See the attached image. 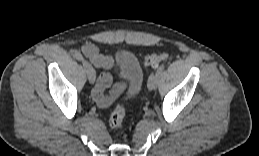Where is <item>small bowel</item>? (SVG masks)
<instances>
[{"instance_id": "obj_1", "label": "small bowel", "mask_w": 259, "mask_h": 156, "mask_svg": "<svg viewBox=\"0 0 259 156\" xmlns=\"http://www.w3.org/2000/svg\"><path fill=\"white\" fill-rule=\"evenodd\" d=\"M81 52L95 67L104 68L107 71L117 70L114 59L111 56L101 54L97 46H95L94 44L85 43L81 47ZM111 82L112 77L108 72H103L98 78L97 84L92 94L94 100L100 107H108L111 104L112 100L116 96H118L125 88L124 83H119L113 88L109 96H105L104 90L110 86Z\"/></svg>"}]
</instances>
